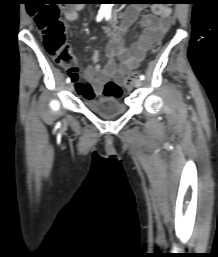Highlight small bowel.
Returning a JSON list of instances; mask_svg holds the SVG:
<instances>
[{
	"mask_svg": "<svg viewBox=\"0 0 218 257\" xmlns=\"http://www.w3.org/2000/svg\"><path fill=\"white\" fill-rule=\"evenodd\" d=\"M80 6L70 5L63 8L64 18L67 21H75L79 18ZM141 7L129 6L121 15L119 21L112 20L110 27L114 33L107 46L109 58L106 65L98 63L99 52L94 51L91 57L92 65L81 73L72 74L76 92L84 99H95L102 95V83L107 79H114L119 85L124 84L125 76L136 69L144 59L151 46L159 42L171 26L172 9L169 6L158 5L153 8V13L145 14L140 20L142 32L137 35L136 41L131 47L125 45L123 37L125 32L138 19ZM118 57L117 65L114 57ZM126 98V90L124 94Z\"/></svg>",
	"mask_w": 218,
	"mask_h": 257,
	"instance_id": "1",
	"label": "small bowel"
}]
</instances>
